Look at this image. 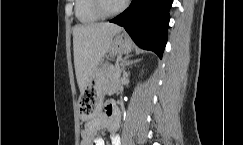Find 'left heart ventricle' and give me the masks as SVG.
Segmentation results:
<instances>
[{
  "label": "left heart ventricle",
  "mask_w": 243,
  "mask_h": 145,
  "mask_svg": "<svg viewBox=\"0 0 243 145\" xmlns=\"http://www.w3.org/2000/svg\"><path fill=\"white\" fill-rule=\"evenodd\" d=\"M124 0H105L106 7L110 10L118 8Z\"/></svg>",
  "instance_id": "b2bd125f"
}]
</instances>
